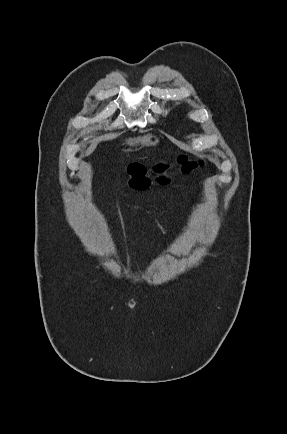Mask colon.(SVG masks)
<instances>
[{
  "mask_svg": "<svg viewBox=\"0 0 287 434\" xmlns=\"http://www.w3.org/2000/svg\"><path fill=\"white\" fill-rule=\"evenodd\" d=\"M199 162L190 159L187 155H180L177 165L182 173H190L198 166ZM170 165L165 162L154 164L150 169L140 163L128 166L127 171L130 175L129 184L136 190H145L152 184L166 185L171 181V176L167 174Z\"/></svg>",
  "mask_w": 287,
  "mask_h": 434,
  "instance_id": "5ec220e1",
  "label": "colon"
}]
</instances>
